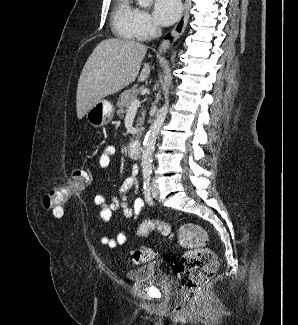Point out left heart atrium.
Masks as SVG:
<instances>
[{
	"mask_svg": "<svg viewBox=\"0 0 298 325\" xmlns=\"http://www.w3.org/2000/svg\"><path fill=\"white\" fill-rule=\"evenodd\" d=\"M182 12L180 0H155L153 14L160 26L173 24Z\"/></svg>",
	"mask_w": 298,
	"mask_h": 325,
	"instance_id": "left-heart-atrium-1",
	"label": "left heart atrium"
}]
</instances>
